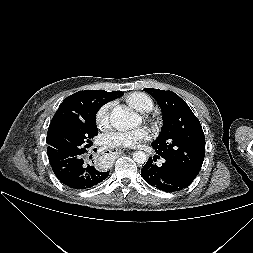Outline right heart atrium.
Segmentation results:
<instances>
[{"instance_id":"1","label":"right heart atrium","mask_w":253,"mask_h":253,"mask_svg":"<svg viewBox=\"0 0 253 253\" xmlns=\"http://www.w3.org/2000/svg\"><path fill=\"white\" fill-rule=\"evenodd\" d=\"M111 107L112 103H106L97 111L96 123L99 127L103 128L108 125Z\"/></svg>"}]
</instances>
